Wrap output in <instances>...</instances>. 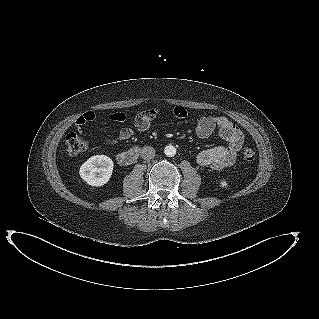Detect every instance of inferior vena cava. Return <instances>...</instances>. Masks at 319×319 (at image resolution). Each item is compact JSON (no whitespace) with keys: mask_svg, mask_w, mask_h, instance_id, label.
<instances>
[{"mask_svg":"<svg viewBox=\"0 0 319 319\" xmlns=\"http://www.w3.org/2000/svg\"><path fill=\"white\" fill-rule=\"evenodd\" d=\"M155 156V149L151 146H145L141 150V157L144 160H150Z\"/></svg>","mask_w":319,"mask_h":319,"instance_id":"602c4592","label":"inferior vena cava"}]
</instances>
